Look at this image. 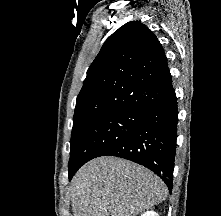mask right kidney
Segmentation results:
<instances>
[{
	"label": "right kidney",
	"mask_w": 221,
	"mask_h": 216,
	"mask_svg": "<svg viewBox=\"0 0 221 216\" xmlns=\"http://www.w3.org/2000/svg\"><path fill=\"white\" fill-rule=\"evenodd\" d=\"M141 216H159L158 213L154 212V211H147L145 213H143Z\"/></svg>",
	"instance_id": "1"
}]
</instances>
